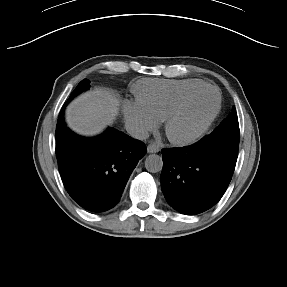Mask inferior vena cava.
I'll list each match as a JSON object with an SVG mask.
<instances>
[{"label":"inferior vena cava","mask_w":287,"mask_h":287,"mask_svg":"<svg viewBox=\"0 0 287 287\" xmlns=\"http://www.w3.org/2000/svg\"><path fill=\"white\" fill-rule=\"evenodd\" d=\"M125 129L129 136L139 139L145 140L149 137V133L144 126L137 122L128 121L125 123Z\"/></svg>","instance_id":"602c4592"}]
</instances>
